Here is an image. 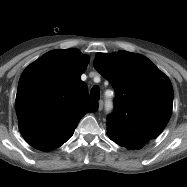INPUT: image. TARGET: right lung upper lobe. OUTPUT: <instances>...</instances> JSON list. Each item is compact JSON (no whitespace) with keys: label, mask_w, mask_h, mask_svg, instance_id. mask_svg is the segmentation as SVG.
<instances>
[{"label":"right lung upper lobe","mask_w":187,"mask_h":187,"mask_svg":"<svg viewBox=\"0 0 187 187\" xmlns=\"http://www.w3.org/2000/svg\"><path fill=\"white\" fill-rule=\"evenodd\" d=\"M88 58L77 49L53 50L22 73L16 96L19 130L34 148L51 151L74 133L80 119L98 109L81 80Z\"/></svg>","instance_id":"right-lung-upper-lobe-1"}]
</instances>
